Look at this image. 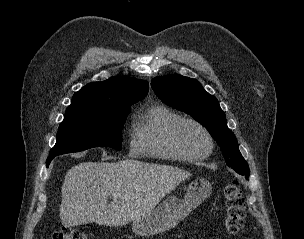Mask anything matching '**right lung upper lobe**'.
Segmentation results:
<instances>
[{
  "instance_id": "1",
  "label": "right lung upper lobe",
  "mask_w": 304,
  "mask_h": 239,
  "mask_svg": "<svg viewBox=\"0 0 304 239\" xmlns=\"http://www.w3.org/2000/svg\"><path fill=\"white\" fill-rule=\"evenodd\" d=\"M148 87L147 81L127 76L89 83L73 95L66 113L118 110L142 100Z\"/></svg>"
}]
</instances>
